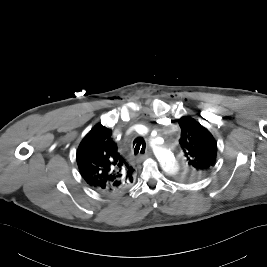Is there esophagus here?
Wrapping results in <instances>:
<instances>
[{
    "mask_svg": "<svg viewBox=\"0 0 267 267\" xmlns=\"http://www.w3.org/2000/svg\"><path fill=\"white\" fill-rule=\"evenodd\" d=\"M147 158H148V154H143V155L139 156V159H141V160H145Z\"/></svg>",
    "mask_w": 267,
    "mask_h": 267,
    "instance_id": "1",
    "label": "esophagus"
}]
</instances>
